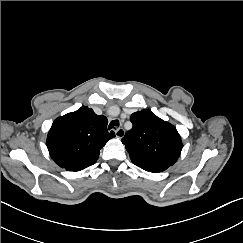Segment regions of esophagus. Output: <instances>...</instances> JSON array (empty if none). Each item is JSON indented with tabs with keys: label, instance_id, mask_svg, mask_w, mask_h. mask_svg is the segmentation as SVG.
Returning a JSON list of instances; mask_svg holds the SVG:
<instances>
[{
	"label": "esophagus",
	"instance_id": "1",
	"mask_svg": "<svg viewBox=\"0 0 243 243\" xmlns=\"http://www.w3.org/2000/svg\"><path fill=\"white\" fill-rule=\"evenodd\" d=\"M115 134H116L117 138L121 139V138L124 137L125 131H124L123 128H118V129L115 130Z\"/></svg>",
	"mask_w": 243,
	"mask_h": 243
}]
</instances>
